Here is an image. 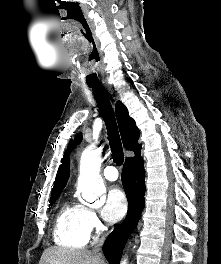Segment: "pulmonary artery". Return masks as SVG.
<instances>
[{
    "label": "pulmonary artery",
    "mask_w": 221,
    "mask_h": 264,
    "mask_svg": "<svg viewBox=\"0 0 221 264\" xmlns=\"http://www.w3.org/2000/svg\"><path fill=\"white\" fill-rule=\"evenodd\" d=\"M103 173H104L105 178L109 181H115L118 179V171L116 167L112 165L105 167Z\"/></svg>",
    "instance_id": "obj_1"
}]
</instances>
